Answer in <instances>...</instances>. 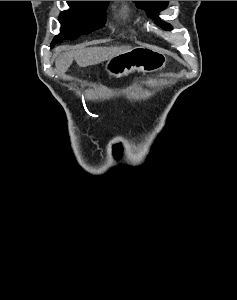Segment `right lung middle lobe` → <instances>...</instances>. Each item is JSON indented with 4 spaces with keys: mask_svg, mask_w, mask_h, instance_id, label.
I'll return each instance as SVG.
<instances>
[{
    "mask_svg": "<svg viewBox=\"0 0 237 300\" xmlns=\"http://www.w3.org/2000/svg\"><path fill=\"white\" fill-rule=\"evenodd\" d=\"M108 2L67 1L70 9L60 14L61 34L54 38L51 48L64 39L74 40L104 26Z\"/></svg>",
    "mask_w": 237,
    "mask_h": 300,
    "instance_id": "1",
    "label": "right lung middle lobe"
}]
</instances>
